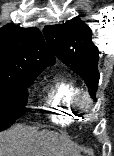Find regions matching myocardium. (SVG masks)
<instances>
[{
	"label": "myocardium",
	"instance_id": "f54148a6",
	"mask_svg": "<svg viewBox=\"0 0 114 156\" xmlns=\"http://www.w3.org/2000/svg\"><path fill=\"white\" fill-rule=\"evenodd\" d=\"M94 98L85 90H80L74 97V106L86 117L93 115L94 110Z\"/></svg>",
	"mask_w": 114,
	"mask_h": 156
}]
</instances>
